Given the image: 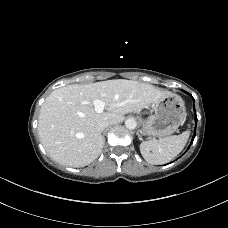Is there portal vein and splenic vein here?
Wrapping results in <instances>:
<instances>
[{"instance_id":"18ae733b","label":"portal vein and splenic vein","mask_w":228,"mask_h":228,"mask_svg":"<svg viewBox=\"0 0 228 228\" xmlns=\"http://www.w3.org/2000/svg\"><path fill=\"white\" fill-rule=\"evenodd\" d=\"M93 105H94L95 111L97 113H102L106 103L104 101H102V100L97 99V100L93 101Z\"/></svg>"}]
</instances>
